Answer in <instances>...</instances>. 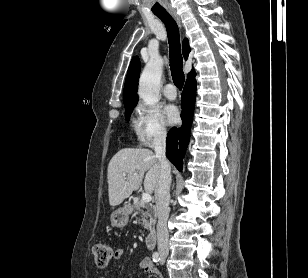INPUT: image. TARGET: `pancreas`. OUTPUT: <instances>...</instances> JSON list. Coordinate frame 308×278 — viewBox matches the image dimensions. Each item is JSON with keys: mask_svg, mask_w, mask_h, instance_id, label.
<instances>
[{"mask_svg": "<svg viewBox=\"0 0 308 278\" xmlns=\"http://www.w3.org/2000/svg\"><path fill=\"white\" fill-rule=\"evenodd\" d=\"M136 213H141V224L144 229L151 232L155 231L156 224V209L153 205L145 203L143 200H138L133 204ZM146 209V210H143Z\"/></svg>", "mask_w": 308, "mask_h": 278, "instance_id": "cf45deb5", "label": "pancreas"}]
</instances>
